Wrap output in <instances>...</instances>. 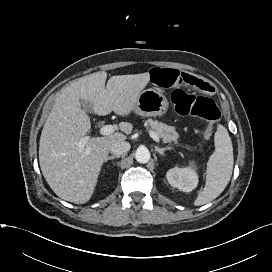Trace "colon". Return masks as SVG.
Here are the masks:
<instances>
[{"instance_id": "1", "label": "colon", "mask_w": 272, "mask_h": 272, "mask_svg": "<svg viewBox=\"0 0 272 272\" xmlns=\"http://www.w3.org/2000/svg\"><path fill=\"white\" fill-rule=\"evenodd\" d=\"M171 101L177 113L204 119L208 123L204 135L207 138L212 136L213 126L220 117V111L211 98L176 89L171 94Z\"/></svg>"}]
</instances>
